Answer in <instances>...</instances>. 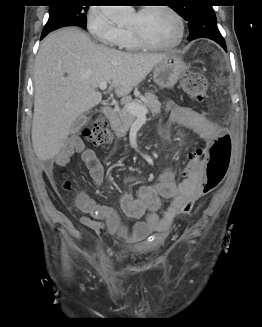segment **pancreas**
<instances>
[{
  "label": "pancreas",
  "mask_w": 262,
  "mask_h": 327,
  "mask_svg": "<svg viewBox=\"0 0 262 327\" xmlns=\"http://www.w3.org/2000/svg\"><path fill=\"white\" fill-rule=\"evenodd\" d=\"M122 103L125 104V106L122 109L117 110L110 121L111 128L114 129L118 138L126 135V132L136 119V116L131 114L126 107V104L129 103L128 100L125 98ZM130 103H136L145 107L147 110L149 109L152 115H158L161 112V103L158 101V98L150 92L132 100Z\"/></svg>",
  "instance_id": "pancreas-1"
}]
</instances>
